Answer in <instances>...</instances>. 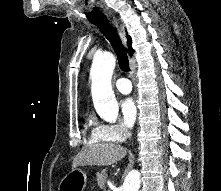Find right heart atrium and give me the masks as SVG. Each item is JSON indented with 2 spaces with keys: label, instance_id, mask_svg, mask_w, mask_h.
Returning a JSON list of instances; mask_svg holds the SVG:
<instances>
[{
  "label": "right heart atrium",
  "instance_id": "right-heart-atrium-1",
  "mask_svg": "<svg viewBox=\"0 0 221 191\" xmlns=\"http://www.w3.org/2000/svg\"><path fill=\"white\" fill-rule=\"evenodd\" d=\"M92 136L100 141L124 142L130 130L122 123H101L94 127Z\"/></svg>",
  "mask_w": 221,
  "mask_h": 191
}]
</instances>
